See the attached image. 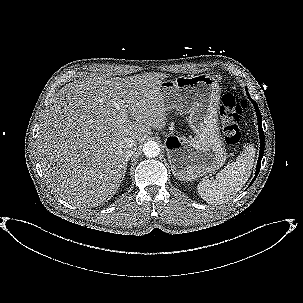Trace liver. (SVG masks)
Segmentation results:
<instances>
[{
    "label": "liver",
    "mask_w": 303,
    "mask_h": 303,
    "mask_svg": "<svg viewBox=\"0 0 303 303\" xmlns=\"http://www.w3.org/2000/svg\"><path fill=\"white\" fill-rule=\"evenodd\" d=\"M168 76L126 78L95 74L63 87L40 123L37 149L52 190L78 208L110 200L120 187L126 157L124 138L142 140L166 126L160 84ZM130 113L133 121L123 119Z\"/></svg>",
    "instance_id": "liver-1"
}]
</instances>
